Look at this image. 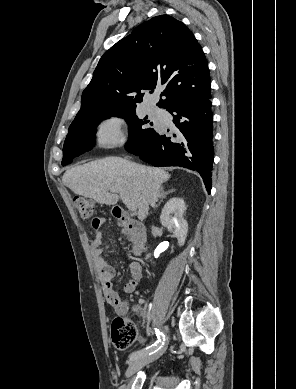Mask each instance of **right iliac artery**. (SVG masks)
<instances>
[{"label":"right iliac artery","mask_w":296,"mask_h":389,"mask_svg":"<svg viewBox=\"0 0 296 389\" xmlns=\"http://www.w3.org/2000/svg\"><path fill=\"white\" fill-rule=\"evenodd\" d=\"M155 330H156V336H157L158 340L153 345H151L145 349H142L140 351L134 352L130 356V361H133V360H135L139 357H142V356L151 355V354L155 353L156 351H158L160 348H162V346L165 343V335L161 331H159L158 329H155Z\"/></svg>","instance_id":"1"}]
</instances>
